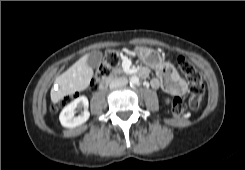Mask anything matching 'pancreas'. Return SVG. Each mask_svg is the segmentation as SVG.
Instances as JSON below:
<instances>
[{
	"label": "pancreas",
	"mask_w": 245,
	"mask_h": 170,
	"mask_svg": "<svg viewBox=\"0 0 245 170\" xmlns=\"http://www.w3.org/2000/svg\"><path fill=\"white\" fill-rule=\"evenodd\" d=\"M123 70L119 67H117L111 74H110V78L112 79L114 76H117L118 74H122Z\"/></svg>",
	"instance_id": "1"
}]
</instances>
